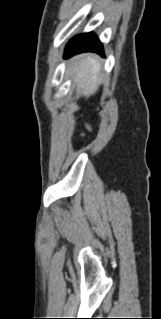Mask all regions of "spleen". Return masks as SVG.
Here are the masks:
<instances>
[{
  "instance_id": "1",
  "label": "spleen",
  "mask_w": 161,
  "mask_h": 319,
  "mask_svg": "<svg viewBox=\"0 0 161 319\" xmlns=\"http://www.w3.org/2000/svg\"><path fill=\"white\" fill-rule=\"evenodd\" d=\"M75 80L82 87L84 95L89 96L98 89L97 84L100 79L101 65L95 56H83L80 64L73 70Z\"/></svg>"
}]
</instances>
